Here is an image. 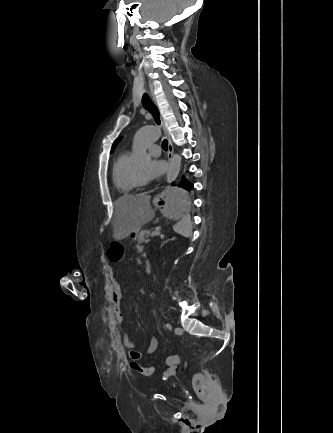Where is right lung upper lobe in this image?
<instances>
[{"instance_id":"obj_1","label":"right lung upper lobe","mask_w":333,"mask_h":433,"mask_svg":"<svg viewBox=\"0 0 333 433\" xmlns=\"http://www.w3.org/2000/svg\"><path fill=\"white\" fill-rule=\"evenodd\" d=\"M121 139H122V138L120 137V138H118L117 140H115V142H114V144H113V146H112V149H111V153L114 151L116 145L119 143V141H120Z\"/></svg>"}]
</instances>
